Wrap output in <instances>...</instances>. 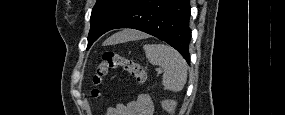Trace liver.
<instances>
[{
    "mask_svg": "<svg viewBox=\"0 0 285 115\" xmlns=\"http://www.w3.org/2000/svg\"><path fill=\"white\" fill-rule=\"evenodd\" d=\"M125 39L124 40H120V41H116L114 39V37L109 38L108 40H106L104 42V45H109V44H115V43H119V42H124L130 39H138V38H142L145 35L143 33L137 32V31H133V30H128V31H124L123 32Z\"/></svg>",
    "mask_w": 285,
    "mask_h": 115,
    "instance_id": "obj_1",
    "label": "liver"
}]
</instances>
